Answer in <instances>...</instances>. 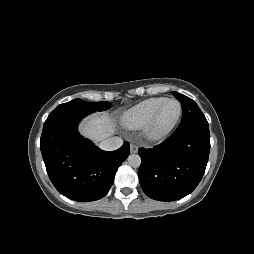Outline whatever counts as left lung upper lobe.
Listing matches in <instances>:
<instances>
[{"label":"left lung upper lobe","instance_id":"obj_1","mask_svg":"<svg viewBox=\"0 0 254 254\" xmlns=\"http://www.w3.org/2000/svg\"><path fill=\"white\" fill-rule=\"evenodd\" d=\"M172 93L175 98L180 101L182 107V119L179 125H184L191 122H207L198 105L191 98L178 92Z\"/></svg>","mask_w":254,"mask_h":254}]
</instances>
